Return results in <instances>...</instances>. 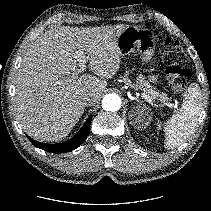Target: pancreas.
<instances>
[{
  "mask_svg": "<svg viewBox=\"0 0 211 211\" xmlns=\"http://www.w3.org/2000/svg\"><path fill=\"white\" fill-rule=\"evenodd\" d=\"M127 84L130 85L132 88H136V89H142L143 93L148 94L149 96L152 97V99H157L158 101H160L161 103H165L168 101V96L166 93H159L158 91H156L148 81H144V78L142 76H139L137 78V84L132 83L128 77H125Z\"/></svg>",
  "mask_w": 211,
  "mask_h": 211,
  "instance_id": "pancreas-1",
  "label": "pancreas"
}]
</instances>
